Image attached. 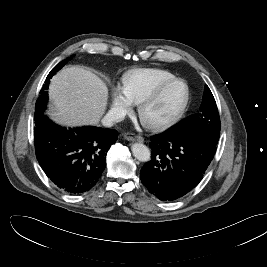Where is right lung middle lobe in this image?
Instances as JSON below:
<instances>
[{
  "instance_id": "dd1d6c3e",
  "label": "right lung middle lobe",
  "mask_w": 267,
  "mask_h": 267,
  "mask_svg": "<svg viewBox=\"0 0 267 267\" xmlns=\"http://www.w3.org/2000/svg\"><path fill=\"white\" fill-rule=\"evenodd\" d=\"M73 57V55L65 60H63L62 62H60L59 64H57L48 74L46 80H45V84L43 85L41 91H40V96L36 102V106H35V115H34V119H38L39 117H41L42 115H44V110L46 108V102L48 100V94H47V89H48V84L50 79L52 78L53 75L56 74L57 71H59L69 60H71Z\"/></svg>"
}]
</instances>
